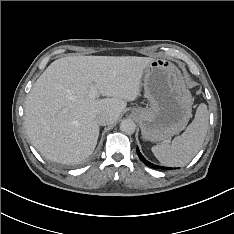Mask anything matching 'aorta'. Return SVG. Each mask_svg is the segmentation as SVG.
I'll use <instances>...</instances> for the list:
<instances>
[{
  "instance_id": "obj_1",
  "label": "aorta",
  "mask_w": 234,
  "mask_h": 234,
  "mask_svg": "<svg viewBox=\"0 0 234 234\" xmlns=\"http://www.w3.org/2000/svg\"><path fill=\"white\" fill-rule=\"evenodd\" d=\"M136 125L131 119H123L120 123V130L128 135H131L135 132Z\"/></svg>"
}]
</instances>
